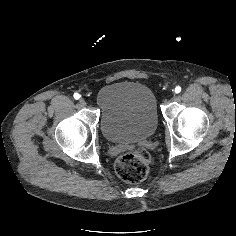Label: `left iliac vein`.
Wrapping results in <instances>:
<instances>
[{
	"label": "left iliac vein",
	"mask_w": 236,
	"mask_h": 236,
	"mask_svg": "<svg viewBox=\"0 0 236 236\" xmlns=\"http://www.w3.org/2000/svg\"><path fill=\"white\" fill-rule=\"evenodd\" d=\"M169 99H170V101L174 102V101H176L177 98H176L175 94H171Z\"/></svg>",
	"instance_id": "obj_1"
}]
</instances>
